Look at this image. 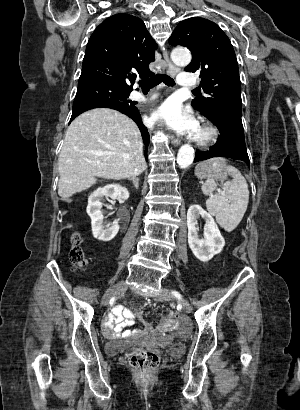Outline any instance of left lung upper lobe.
<instances>
[{"mask_svg":"<svg viewBox=\"0 0 300 410\" xmlns=\"http://www.w3.org/2000/svg\"><path fill=\"white\" fill-rule=\"evenodd\" d=\"M173 46L192 52L188 72H200L201 87L208 97L200 96L191 105L211 119L220 112L242 115L241 83L232 44L212 21L193 17L181 21L169 38Z\"/></svg>","mask_w":300,"mask_h":410,"instance_id":"left-lung-upper-lobe-1","label":"left lung upper lobe"}]
</instances>
